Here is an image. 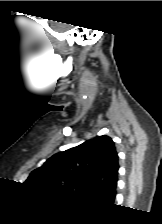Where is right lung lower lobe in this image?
<instances>
[{
  "label": "right lung lower lobe",
  "instance_id": "right-lung-lower-lobe-1",
  "mask_svg": "<svg viewBox=\"0 0 162 224\" xmlns=\"http://www.w3.org/2000/svg\"><path fill=\"white\" fill-rule=\"evenodd\" d=\"M114 199H115V197L111 200V202H113V201H114Z\"/></svg>",
  "mask_w": 162,
  "mask_h": 224
}]
</instances>
